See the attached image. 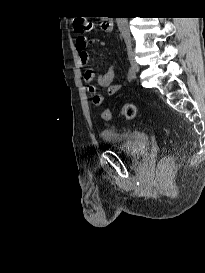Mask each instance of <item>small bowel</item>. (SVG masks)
<instances>
[{"mask_svg": "<svg viewBox=\"0 0 205 273\" xmlns=\"http://www.w3.org/2000/svg\"><path fill=\"white\" fill-rule=\"evenodd\" d=\"M95 43V39H88L84 36H78L76 38L75 47L79 54V61L81 65H85L89 60V53L87 47ZM115 70L113 66H109L104 74L96 76L91 70H86L83 74L84 81L89 84V92L92 96V103L96 106H100L104 103L105 97L103 94L99 93L97 89L92 86V83L96 80L100 87L107 89V94L113 96L117 94L121 86L114 83ZM103 113V112H102ZM103 117V115H102ZM104 119V118H103Z\"/></svg>", "mask_w": 205, "mask_h": 273, "instance_id": "1", "label": "small bowel"}]
</instances>
